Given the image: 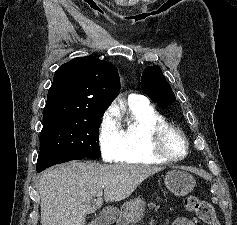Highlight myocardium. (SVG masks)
<instances>
[{
  "label": "myocardium",
  "instance_id": "f54148a6",
  "mask_svg": "<svg viewBox=\"0 0 237 225\" xmlns=\"http://www.w3.org/2000/svg\"><path fill=\"white\" fill-rule=\"evenodd\" d=\"M172 135L178 136L183 144L182 154L176 155L169 151L167 147L168 138ZM150 145L153 153L166 162H175L184 159L189 151V141L184 132L172 125L161 124L154 127L150 133Z\"/></svg>",
  "mask_w": 237,
  "mask_h": 225
}]
</instances>
